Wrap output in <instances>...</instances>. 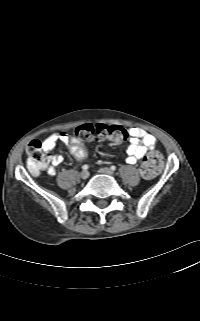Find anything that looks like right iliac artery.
Instances as JSON below:
<instances>
[{
  "mask_svg": "<svg viewBox=\"0 0 200 321\" xmlns=\"http://www.w3.org/2000/svg\"><path fill=\"white\" fill-rule=\"evenodd\" d=\"M88 168H89L88 165H83V166H82V169H83V170H87Z\"/></svg>",
  "mask_w": 200,
  "mask_h": 321,
  "instance_id": "82829eb1",
  "label": "right iliac artery"
}]
</instances>
